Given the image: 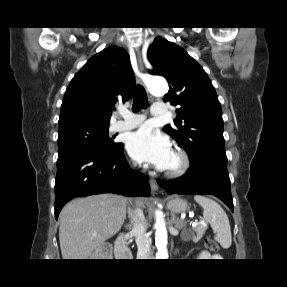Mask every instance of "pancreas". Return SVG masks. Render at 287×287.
Listing matches in <instances>:
<instances>
[{"instance_id": "pancreas-1", "label": "pancreas", "mask_w": 287, "mask_h": 287, "mask_svg": "<svg viewBox=\"0 0 287 287\" xmlns=\"http://www.w3.org/2000/svg\"><path fill=\"white\" fill-rule=\"evenodd\" d=\"M207 227L204 226V225H198L196 226L193 230L194 232L196 233V236L193 237V241L194 242H198L202 237L203 235L205 234V231H206Z\"/></svg>"}]
</instances>
